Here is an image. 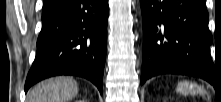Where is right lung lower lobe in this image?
Segmentation results:
<instances>
[{
	"label": "right lung lower lobe",
	"mask_w": 221,
	"mask_h": 102,
	"mask_svg": "<svg viewBox=\"0 0 221 102\" xmlns=\"http://www.w3.org/2000/svg\"><path fill=\"white\" fill-rule=\"evenodd\" d=\"M108 15V0H59L42 12L25 93L45 78L75 75L93 82L102 94Z\"/></svg>",
	"instance_id": "right-lung-lower-lobe-1"
}]
</instances>
